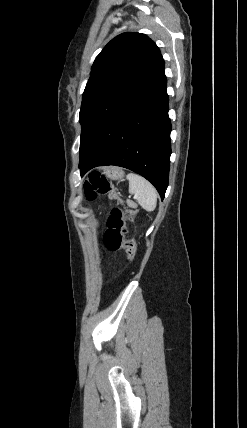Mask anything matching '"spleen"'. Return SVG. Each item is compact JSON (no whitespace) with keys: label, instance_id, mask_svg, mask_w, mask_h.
Listing matches in <instances>:
<instances>
[{"label":"spleen","instance_id":"3e777b00","mask_svg":"<svg viewBox=\"0 0 247 428\" xmlns=\"http://www.w3.org/2000/svg\"><path fill=\"white\" fill-rule=\"evenodd\" d=\"M129 193L134 194L139 205L146 211H153L157 205V191L145 178L131 173L127 176Z\"/></svg>","mask_w":247,"mask_h":428}]
</instances>
